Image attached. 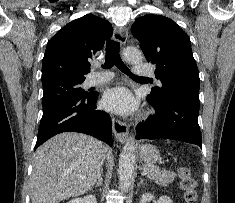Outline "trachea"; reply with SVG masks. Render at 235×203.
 I'll use <instances>...</instances> for the list:
<instances>
[{"mask_svg":"<svg viewBox=\"0 0 235 203\" xmlns=\"http://www.w3.org/2000/svg\"><path fill=\"white\" fill-rule=\"evenodd\" d=\"M120 43L114 40H108L106 42V56H105V64L103 68L108 69L113 65H116L118 69L127 74L130 77H138L131 73V71L127 68V66L121 60L120 54Z\"/></svg>","mask_w":235,"mask_h":203,"instance_id":"1","label":"trachea"}]
</instances>
